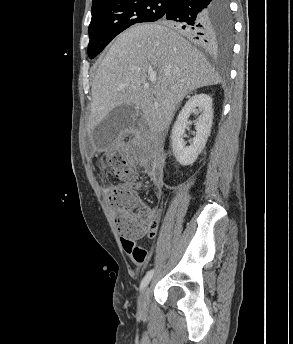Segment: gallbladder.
Returning <instances> with one entry per match:
<instances>
[{"instance_id":"1","label":"gallbladder","mask_w":293,"mask_h":344,"mask_svg":"<svg viewBox=\"0 0 293 344\" xmlns=\"http://www.w3.org/2000/svg\"><path fill=\"white\" fill-rule=\"evenodd\" d=\"M139 111L133 105H120L112 109L108 115L93 129L92 137L98 150L110 147L119 134L131 129Z\"/></svg>"}]
</instances>
